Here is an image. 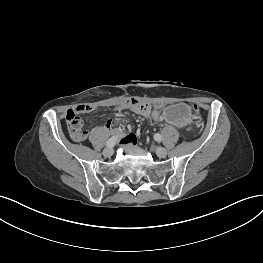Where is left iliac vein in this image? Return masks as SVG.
Listing matches in <instances>:
<instances>
[{"instance_id":"left-iliac-vein-1","label":"left iliac vein","mask_w":263,"mask_h":263,"mask_svg":"<svg viewBox=\"0 0 263 263\" xmlns=\"http://www.w3.org/2000/svg\"><path fill=\"white\" fill-rule=\"evenodd\" d=\"M155 151H156L157 156L160 158H164L167 155V151L162 147H157Z\"/></svg>"}]
</instances>
